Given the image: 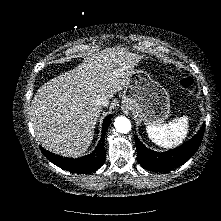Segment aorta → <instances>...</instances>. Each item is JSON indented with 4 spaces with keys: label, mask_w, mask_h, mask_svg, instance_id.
<instances>
[{
    "label": "aorta",
    "mask_w": 221,
    "mask_h": 221,
    "mask_svg": "<svg viewBox=\"0 0 221 221\" xmlns=\"http://www.w3.org/2000/svg\"><path fill=\"white\" fill-rule=\"evenodd\" d=\"M114 126L120 133H128L131 130L130 120L124 116H118L114 120Z\"/></svg>",
    "instance_id": "aorta-1"
}]
</instances>
